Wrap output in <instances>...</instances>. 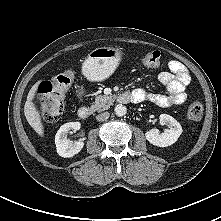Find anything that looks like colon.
<instances>
[{"mask_svg": "<svg viewBox=\"0 0 221 221\" xmlns=\"http://www.w3.org/2000/svg\"><path fill=\"white\" fill-rule=\"evenodd\" d=\"M142 64L148 68H159L162 65L161 53L157 50L150 51L142 57ZM74 80L71 71H65L54 77L52 80L41 82L37 88V104L49 122L58 121L65 106V95ZM203 114V106L199 100L190 102L187 109V116L192 121H198Z\"/></svg>", "mask_w": 221, "mask_h": 221, "instance_id": "colon-1", "label": "colon"}]
</instances>
